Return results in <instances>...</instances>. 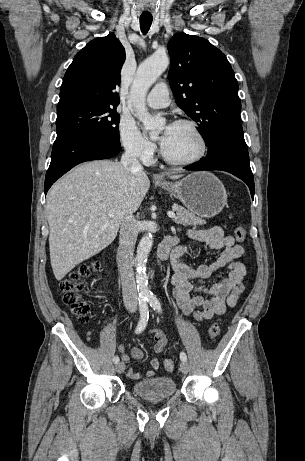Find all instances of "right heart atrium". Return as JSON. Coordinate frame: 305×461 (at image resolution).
<instances>
[{
	"mask_svg": "<svg viewBox=\"0 0 305 461\" xmlns=\"http://www.w3.org/2000/svg\"><path fill=\"white\" fill-rule=\"evenodd\" d=\"M118 133L120 142L128 154L144 162L151 161L156 146L140 132L134 121L122 118Z\"/></svg>",
	"mask_w": 305,
	"mask_h": 461,
	"instance_id": "obj_1",
	"label": "right heart atrium"
}]
</instances>
